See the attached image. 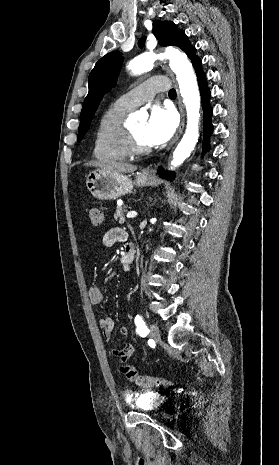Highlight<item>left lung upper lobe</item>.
<instances>
[{
	"label": "left lung upper lobe",
	"mask_w": 279,
	"mask_h": 465,
	"mask_svg": "<svg viewBox=\"0 0 279 465\" xmlns=\"http://www.w3.org/2000/svg\"><path fill=\"white\" fill-rule=\"evenodd\" d=\"M153 34L160 45L181 48L191 59V62L198 58L195 56V47L189 43L184 31L178 29L173 22L155 21L153 23ZM144 41L145 37L141 38L139 41L140 47L143 46ZM122 59L121 53L118 51L108 53L96 63L91 71L88 79L89 91L81 111L78 142L85 135L103 94L110 91L112 86L116 84Z\"/></svg>",
	"instance_id": "1"
}]
</instances>
